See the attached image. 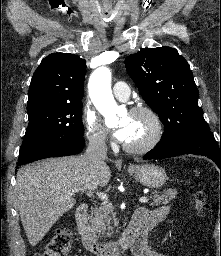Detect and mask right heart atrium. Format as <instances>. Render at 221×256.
Listing matches in <instances>:
<instances>
[{
    "instance_id": "right-heart-atrium-1",
    "label": "right heart atrium",
    "mask_w": 221,
    "mask_h": 256,
    "mask_svg": "<svg viewBox=\"0 0 221 256\" xmlns=\"http://www.w3.org/2000/svg\"><path fill=\"white\" fill-rule=\"evenodd\" d=\"M83 123L90 144L96 147L105 146L107 143L106 131L101 126L96 113L92 109H85Z\"/></svg>"
}]
</instances>
